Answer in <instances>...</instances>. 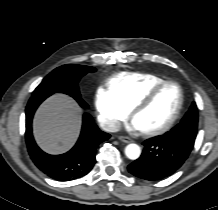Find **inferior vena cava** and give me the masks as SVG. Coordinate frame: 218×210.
<instances>
[{"instance_id": "inferior-vena-cava-1", "label": "inferior vena cava", "mask_w": 218, "mask_h": 210, "mask_svg": "<svg viewBox=\"0 0 218 210\" xmlns=\"http://www.w3.org/2000/svg\"><path fill=\"white\" fill-rule=\"evenodd\" d=\"M100 127L105 132H118L121 128V124L119 121L116 120L103 119L102 121H100Z\"/></svg>"}]
</instances>
